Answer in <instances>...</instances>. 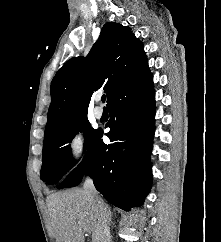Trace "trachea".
<instances>
[{"mask_svg": "<svg viewBox=\"0 0 221 242\" xmlns=\"http://www.w3.org/2000/svg\"><path fill=\"white\" fill-rule=\"evenodd\" d=\"M105 99H106V96L103 95L102 98H101L102 102H105Z\"/></svg>", "mask_w": 221, "mask_h": 242, "instance_id": "3493384b", "label": "trachea"}]
</instances>
